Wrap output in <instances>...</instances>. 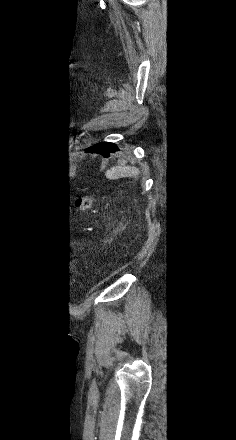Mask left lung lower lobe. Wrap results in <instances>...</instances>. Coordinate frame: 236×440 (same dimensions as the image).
Wrapping results in <instances>:
<instances>
[{
    "instance_id": "obj_1",
    "label": "left lung lower lobe",
    "mask_w": 236,
    "mask_h": 440,
    "mask_svg": "<svg viewBox=\"0 0 236 440\" xmlns=\"http://www.w3.org/2000/svg\"><path fill=\"white\" fill-rule=\"evenodd\" d=\"M118 150L119 149L117 148V146L115 144L108 143V142L98 143V144L87 149V151H89V152L99 153V154L103 155L104 157H109L110 153H114Z\"/></svg>"
}]
</instances>
